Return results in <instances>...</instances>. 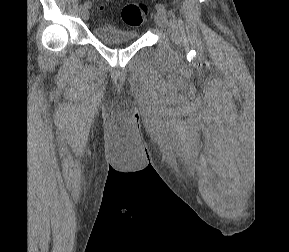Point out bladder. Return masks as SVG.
Here are the masks:
<instances>
[{
  "label": "bladder",
  "mask_w": 289,
  "mask_h": 252,
  "mask_svg": "<svg viewBox=\"0 0 289 252\" xmlns=\"http://www.w3.org/2000/svg\"><path fill=\"white\" fill-rule=\"evenodd\" d=\"M94 36L109 45L131 43L138 39V32L124 30L113 25H101L93 28Z\"/></svg>",
  "instance_id": "bladder-1"
}]
</instances>
